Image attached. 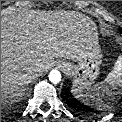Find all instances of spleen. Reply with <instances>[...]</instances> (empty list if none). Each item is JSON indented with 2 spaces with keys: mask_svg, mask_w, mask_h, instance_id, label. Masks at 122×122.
<instances>
[{
  "mask_svg": "<svg viewBox=\"0 0 122 122\" xmlns=\"http://www.w3.org/2000/svg\"><path fill=\"white\" fill-rule=\"evenodd\" d=\"M122 87V55L115 62L114 68L107 75L105 80L93 87L81 88L74 86L71 89L74 97L86 105L94 106L97 109L108 107L103 99H113L120 93Z\"/></svg>",
  "mask_w": 122,
  "mask_h": 122,
  "instance_id": "3e777b00",
  "label": "spleen"
}]
</instances>
